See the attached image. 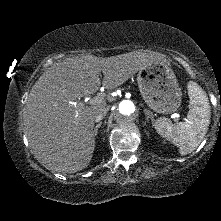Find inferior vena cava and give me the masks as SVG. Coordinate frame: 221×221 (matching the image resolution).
I'll return each mask as SVG.
<instances>
[{
  "label": "inferior vena cava",
  "mask_w": 221,
  "mask_h": 221,
  "mask_svg": "<svg viewBox=\"0 0 221 221\" xmlns=\"http://www.w3.org/2000/svg\"><path fill=\"white\" fill-rule=\"evenodd\" d=\"M108 110H109L108 107L102 108V109L99 111V113L96 115L95 121H96V122L101 121V120L106 116Z\"/></svg>",
  "instance_id": "obj_1"
}]
</instances>
